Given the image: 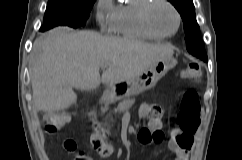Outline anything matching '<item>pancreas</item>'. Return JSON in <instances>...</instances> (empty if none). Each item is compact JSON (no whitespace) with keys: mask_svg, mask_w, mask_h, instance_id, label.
Wrapping results in <instances>:
<instances>
[{"mask_svg":"<svg viewBox=\"0 0 242 160\" xmlns=\"http://www.w3.org/2000/svg\"><path fill=\"white\" fill-rule=\"evenodd\" d=\"M134 99H129V98H124L118 105L117 110L119 112H124L128 110L133 104H134Z\"/></svg>","mask_w":242,"mask_h":160,"instance_id":"pancreas-1","label":"pancreas"}]
</instances>
